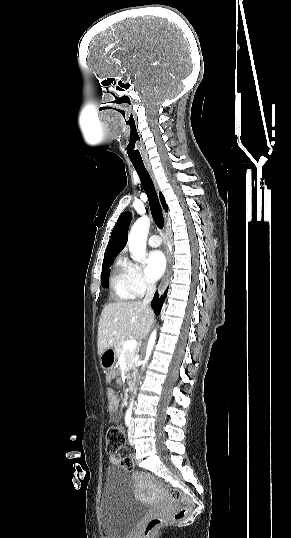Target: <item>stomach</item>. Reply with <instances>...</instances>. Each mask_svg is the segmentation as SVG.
<instances>
[{
    "instance_id": "stomach-1",
    "label": "stomach",
    "mask_w": 291,
    "mask_h": 538,
    "mask_svg": "<svg viewBox=\"0 0 291 538\" xmlns=\"http://www.w3.org/2000/svg\"><path fill=\"white\" fill-rule=\"evenodd\" d=\"M117 355L114 348H108L100 355V363L104 369H110L114 366Z\"/></svg>"
}]
</instances>
